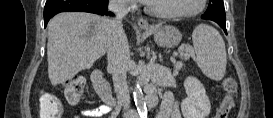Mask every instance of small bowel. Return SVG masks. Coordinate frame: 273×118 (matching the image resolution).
Listing matches in <instances>:
<instances>
[{
    "instance_id": "obj_1",
    "label": "small bowel",
    "mask_w": 273,
    "mask_h": 118,
    "mask_svg": "<svg viewBox=\"0 0 273 118\" xmlns=\"http://www.w3.org/2000/svg\"><path fill=\"white\" fill-rule=\"evenodd\" d=\"M109 112L110 109L108 107L98 106L83 110L82 114L87 117H100ZM157 118H181L178 104L176 103L171 91L165 92Z\"/></svg>"
}]
</instances>
